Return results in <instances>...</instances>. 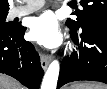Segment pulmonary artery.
Here are the masks:
<instances>
[{
	"instance_id": "obj_1",
	"label": "pulmonary artery",
	"mask_w": 107,
	"mask_h": 89,
	"mask_svg": "<svg viewBox=\"0 0 107 89\" xmlns=\"http://www.w3.org/2000/svg\"><path fill=\"white\" fill-rule=\"evenodd\" d=\"M43 5H44L43 0H33V1H30L25 6H19L12 9L10 12V15L11 17H19V16L27 15L39 10L40 8L43 7Z\"/></svg>"
}]
</instances>
